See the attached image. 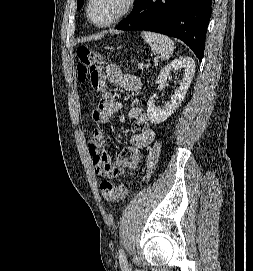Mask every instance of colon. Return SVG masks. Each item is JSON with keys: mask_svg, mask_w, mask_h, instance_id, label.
I'll return each instance as SVG.
<instances>
[{"mask_svg": "<svg viewBox=\"0 0 253 271\" xmlns=\"http://www.w3.org/2000/svg\"><path fill=\"white\" fill-rule=\"evenodd\" d=\"M105 63L104 59L96 52L85 46L77 49V75L80 81L90 80L93 88L99 90V68ZM102 196L107 201H118L125 197L126 187L123 183H113L104 180L99 185Z\"/></svg>", "mask_w": 253, "mask_h": 271, "instance_id": "colon-1", "label": "colon"}]
</instances>
